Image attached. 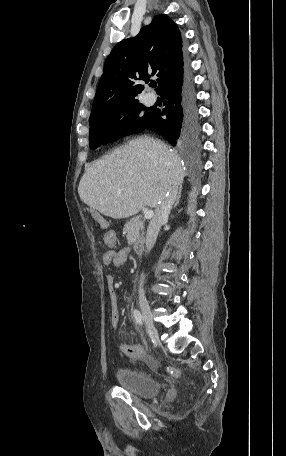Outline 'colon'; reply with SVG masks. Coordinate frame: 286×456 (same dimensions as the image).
Returning a JSON list of instances; mask_svg holds the SVG:
<instances>
[{
  "mask_svg": "<svg viewBox=\"0 0 286 456\" xmlns=\"http://www.w3.org/2000/svg\"><path fill=\"white\" fill-rule=\"evenodd\" d=\"M138 356L139 358H142L149 366L156 368V362L152 358L146 356L144 352H139ZM167 372L173 376H178L179 374L178 369L172 366L167 367Z\"/></svg>",
  "mask_w": 286,
  "mask_h": 456,
  "instance_id": "1",
  "label": "colon"
}]
</instances>
